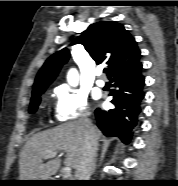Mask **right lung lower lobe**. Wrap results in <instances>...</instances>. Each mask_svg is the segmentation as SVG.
<instances>
[{
	"label": "right lung lower lobe",
	"instance_id": "98d812e1",
	"mask_svg": "<svg viewBox=\"0 0 178 186\" xmlns=\"http://www.w3.org/2000/svg\"><path fill=\"white\" fill-rule=\"evenodd\" d=\"M142 71V63L138 61L109 78L111 86L115 88L110 93L114 108L108 111L95 110L97 126L106 136L120 137L126 143L130 141L145 96Z\"/></svg>",
	"mask_w": 178,
	"mask_h": 186
}]
</instances>
